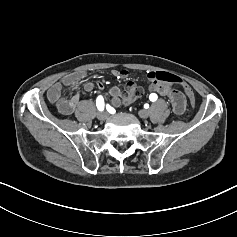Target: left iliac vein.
Here are the masks:
<instances>
[{"mask_svg":"<svg viewBox=\"0 0 237 237\" xmlns=\"http://www.w3.org/2000/svg\"><path fill=\"white\" fill-rule=\"evenodd\" d=\"M138 115H139L140 118L145 119V118L148 117L149 114H148V111H147V110H140V111L138 112Z\"/></svg>","mask_w":237,"mask_h":237,"instance_id":"4c4485c4","label":"left iliac vein"}]
</instances>
